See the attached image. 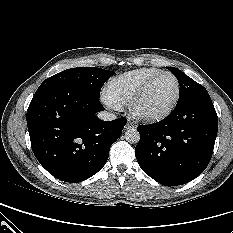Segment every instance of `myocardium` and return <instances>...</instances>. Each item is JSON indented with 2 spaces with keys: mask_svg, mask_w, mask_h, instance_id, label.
Segmentation results:
<instances>
[{
  "mask_svg": "<svg viewBox=\"0 0 233 233\" xmlns=\"http://www.w3.org/2000/svg\"><path fill=\"white\" fill-rule=\"evenodd\" d=\"M161 75H169L174 79L176 83V93L174 99L162 111L156 113H144L139 111L137 109V104L145 95V93L147 92L148 88L153 83V81L156 80ZM180 96H181V84L178 77L171 71L161 70L156 74L152 75L149 79H147L143 83V85L134 93V95L131 97V99L128 102V109L130 114L138 120L147 121V122H156L166 118L168 115H170L173 112V110L175 109V107L179 102Z\"/></svg>",
  "mask_w": 233,
  "mask_h": 233,
  "instance_id": "1",
  "label": "myocardium"
}]
</instances>
